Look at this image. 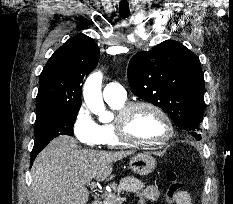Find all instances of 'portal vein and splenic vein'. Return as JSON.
Returning <instances> with one entry per match:
<instances>
[{"instance_id": "18ae733b", "label": "portal vein and splenic vein", "mask_w": 233, "mask_h": 204, "mask_svg": "<svg viewBox=\"0 0 233 204\" xmlns=\"http://www.w3.org/2000/svg\"><path fill=\"white\" fill-rule=\"evenodd\" d=\"M88 186L91 187V188H95V187H96V184H95V182H92V183H89ZM105 195L110 196L111 193H106ZM118 200H119L120 202H121V201H124V200H126V197L118 198Z\"/></svg>"}]
</instances>
